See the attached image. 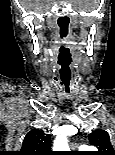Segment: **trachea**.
<instances>
[{"label": "trachea", "mask_w": 115, "mask_h": 155, "mask_svg": "<svg viewBox=\"0 0 115 155\" xmlns=\"http://www.w3.org/2000/svg\"><path fill=\"white\" fill-rule=\"evenodd\" d=\"M63 90H70V87H63ZM65 96H67V93H65Z\"/></svg>", "instance_id": "3493384b"}]
</instances>
